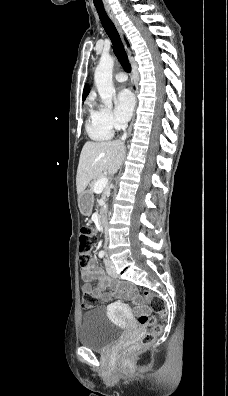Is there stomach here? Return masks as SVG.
Wrapping results in <instances>:
<instances>
[{"label": "stomach", "instance_id": "0dacf381", "mask_svg": "<svg viewBox=\"0 0 228 396\" xmlns=\"http://www.w3.org/2000/svg\"><path fill=\"white\" fill-rule=\"evenodd\" d=\"M94 196L91 190H84L78 196V207L82 215L89 216L92 213Z\"/></svg>", "mask_w": 228, "mask_h": 396}]
</instances>
